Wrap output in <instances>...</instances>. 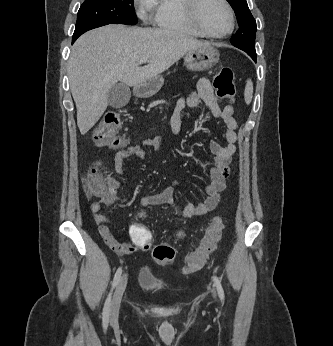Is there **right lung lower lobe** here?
Instances as JSON below:
<instances>
[{
  "instance_id": "1",
  "label": "right lung lower lobe",
  "mask_w": 333,
  "mask_h": 346,
  "mask_svg": "<svg viewBox=\"0 0 333 346\" xmlns=\"http://www.w3.org/2000/svg\"><path fill=\"white\" fill-rule=\"evenodd\" d=\"M77 39V38H76ZM75 38L72 39V43L76 40Z\"/></svg>"
}]
</instances>
